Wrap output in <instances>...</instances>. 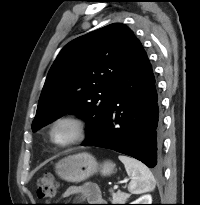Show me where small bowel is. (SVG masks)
Wrapping results in <instances>:
<instances>
[{"label":"small bowel","mask_w":200,"mask_h":205,"mask_svg":"<svg viewBox=\"0 0 200 205\" xmlns=\"http://www.w3.org/2000/svg\"><path fill=\"white\" fill-rule=\"evenodd\" d=\"M64 197L80 196L87 202L100 203L103 201L101 193L97 186L93 184H85L83 186H72L69 187L63 194ZM101 205V204H92Z\"/></svg>","instance_id":"c3829d8e"}]
</instances>
